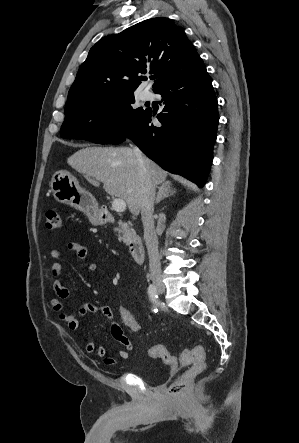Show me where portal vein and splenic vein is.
Instances as JSON below:
<instances>
[{
    "instance_id": "portal-vein-and-splenic-vein-1",
    "label": "portal vein and splenic vein",
    "mask_w": 299,
    "mask_h": 443,
    "mask_svg": "<svg viewBox=\"0 0 299 443\" xmlns=\"http://www.w3.org/2000/svg\"><path fill=\"white\" fill-rule=\"evenodd\" d=\"M112 209L119 213L124 212L126 210L125 201L120 198L113 200Z\"/></svg>"
}]
</instances>
